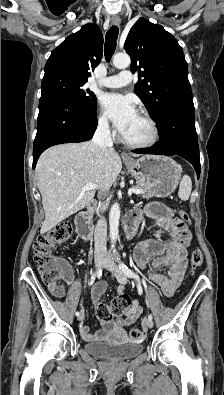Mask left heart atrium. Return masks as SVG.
Returning a JSON list of instances; mask_svg holds the SVG:
<instances>
[{"mask_svg":"<svg viewBox=\"0 0 224 395\" xmlns=\"http://www.w3.org/2000/svg\"><path fill=\"white\" fill-rule=\"evenodd\" d=\"M101 106L120 133L128 127L138 114L133 99L118 93H107L101 99Z\"/></svg>","mask_w":224,"mask_h":395,"instance_id":"1","label":"left heart atrium"}]
</instances>
